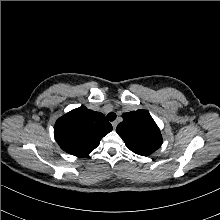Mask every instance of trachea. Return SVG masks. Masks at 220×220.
Returning a JSON list of instances; mask_svg holds the SVG:
<instances>
[{"label": "trachea", "mask_w": 220, "mask_h": 220, "mask_svg": "<svg viewBox=\"0 0 220 220\" xmlns=\"http://www.w3.org/2000/svg\"><path fill=\"white\" fill-rule=\"evenodd\" d=\"M107 119L109 121H114L116 119V114L114 112H110L107 114Z\"/></svg>", "instance_id": "trachea-1"}]
</instances>
